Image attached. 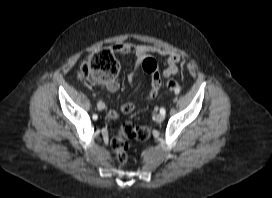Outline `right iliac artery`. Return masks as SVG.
I'll use <instances>...</instances> for the list:
<instances>
[{
    "mask_svg": "<svg viewBox=\"0 0 272 198\" xmlns=\"http://www.w3.org/2000/svg\"><path fill=\"white\" fill-rule=\"evenodd\" d=\"M103 103H99V105H102ZM98 118V116L97 115H93V119H97Z\"/></svg>",
    "mask_w": 272,
    "mask_h": 198,
    "instance_id": "right-iliac-artery-1",
    "label": "right iliac artery"
}]
</instances>
